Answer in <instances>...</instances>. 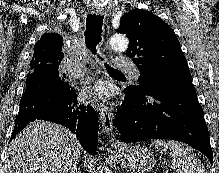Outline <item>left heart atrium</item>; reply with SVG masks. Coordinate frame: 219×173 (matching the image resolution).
I'll list each match as a JSON object with an SVG mask.
<instances>
[{
  "label": "left heart atrium",
  "instance_id": "39dd6f15",
  "mask_svg": "<svg viewBox=\"0 0 219 173\" xmlns=\"http://www.w3.org/2000/svg\"><path fill=\"white\" fill-rule=\"evenodd\" d=\"M81 96L86 100L104 101L109 96V90L103 83H96L85 87Z\"/></svg>",
  "mask_w": 219,
  "mask_h": 173
}]
</instances>
